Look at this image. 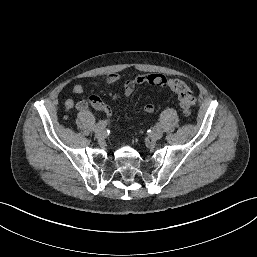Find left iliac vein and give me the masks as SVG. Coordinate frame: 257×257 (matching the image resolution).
<instances>
[{
    "label": "left iliac vein",
    "instance_id": "4c4485c4",
    "mask_svg": "<svg viewBox=\"0 0 257 257\" xmlns=\"http://www.w3.org/2000/svg\"><path fill=\"white\" fill-rule=\"evenodd\" d=\"M163 136V131L159 128V129H156L155 131H153L151 134H150V138L152 140H158L160 138H162Z\"/></svg>",
    "mask_w": 257,
    "mask_h": 257
}]
</instances>
